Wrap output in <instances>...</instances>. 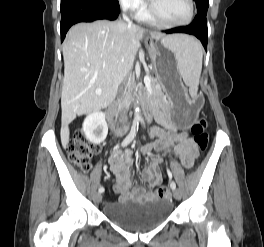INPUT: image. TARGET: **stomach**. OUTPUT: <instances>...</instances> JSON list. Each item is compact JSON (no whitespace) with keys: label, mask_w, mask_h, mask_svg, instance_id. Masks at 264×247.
<instances>
[{"label":"stomach","mask_w":264,"mask_h":247,"mask_svg":"<svg viewBox=\"0 0 264 247\" xmlns=\"http://www.w3.org/2000/svg\"><path fill=\"white\" fill-rule=\"evenodd\" d=\"M150 56L154 65L155 73L159 82L166 86L168 93L173 94L175 99H182L179 94L181 78L179 74L175 53H170V42L161 40V44L150 43ZM199 108H201V94H194V103H181V108H171V113H176V118L181 126L178 131H189L192 123H196V118H200Z\"/></svg>","instance_id":"0dacf381"}]
</instances>
